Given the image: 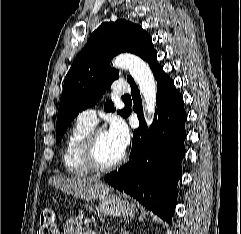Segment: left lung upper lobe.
Returning a JSON list of instances; mask_svg holds the SVG:
<instances>
[{
  "mask_svg": "<svg viewBox=\"0 0 241 234\" xmlns=\"http://www.w3.org/2000/svg\"><path fill=\"white\" fill-rule=\"evenodd\" d=\"M122 52L136 54L146 61L155 52L151 36L141 26L121 19L105 22L91 34L65 77L57 115V143L79 112L96 104L119 77L110 61ZM127 81L131 83L133 79L128 76ZM104 109L113 112V103L106 102ZM128 111L124 108L117 113L126 118Z\"/></svg>",
  "mask_w": 241,
  "mask_h": 234,
  "instance_id": "obj_1",
  "label": "left lung upper lobe"
}]
</instances>
